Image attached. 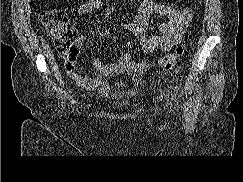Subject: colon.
Returning <instances> with one entry per match:
<instances>
[{"instance_id": "5ec220e1", "label": "colon", "mask_w": 243, "mask_h": 182, "mask_svg": "<svg viewBox=\"0 0 243 182\" xmlns=\"http://www.w3.org/2000/svg\"><path fill=\"white\" fill-rule=\"evenodd\" d=\"M39 20L51 36L57 51L65 58L74 54L73 31L68 26V14L61 9H47L39 13ZM188 37H185V42ZM185 53V44L178 45L172 53L163 56L158 62L160 71L171 70Z\"/></svg>"}]
</instances>
